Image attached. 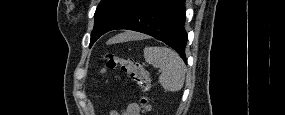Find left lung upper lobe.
Wrapping results in <instances>:
<instances>
[{"mask_svg": "<svg viewBox=\"0 0 285 115\" xmlns=\"http://www.w3.org/2000/svg\"><path fill=\"white\" fill-rule=\"evenodd\" d=\"M131 0H101L95 12V24L91 33L90 46L105 33L108 24Z\"/></svg>", "mask_w": 285, "mask_h": 115, "instance_id": "obj_1", "label": "left lung upper lobe"}]
</instances>
